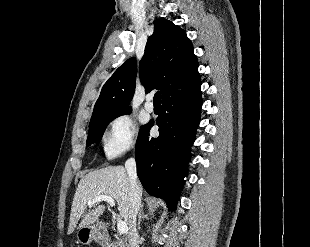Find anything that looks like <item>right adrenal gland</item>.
Segmentation results:
<instances>
[{
	"label": "right adrenal gland",
	"instance_id": "obj_1",
	"mask_svg": "<svg viewBox=\"0 0 310 247\" xmlns=\"http://www.w3.org/2000/svg\"><path fill=\"white\" fill-rule=\"evenodd\" d=\"M142 218H148V215H145L143 213V207L141 208L139 214H138V230L140 229V222Z\"/></svg>",
	"mask_w": 310,
	"mask_h": 247
}]
</instances>
